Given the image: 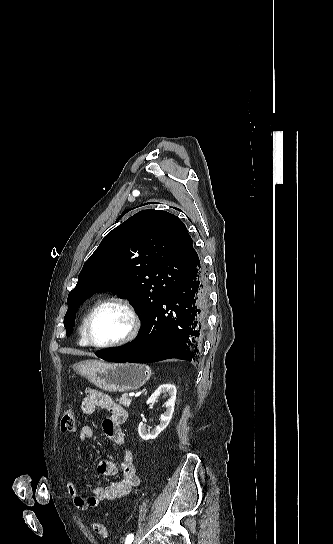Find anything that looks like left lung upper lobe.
I'll use <instances>...</instances> for the list:
<instances>
[{
    "mask_svg": "<svg viewBox=\"0 0 333 544\" xmlns=\"http://www.w3.org/2000/svg\"><path fill=\"white\" fill-rule=\"evenodd\" d=\"M200 259L184 223L142 210L108 233L83 266L64 317L71 335L76 310L96 292L128 295L146 319Z\"/></svg>",
    "mask_w": 333,
    "mask_h": 544,
    "instance_id": "5c2ea615",
    "label": "left lung upper lobe"
}]
</instances>
